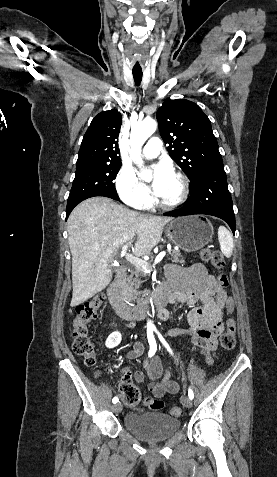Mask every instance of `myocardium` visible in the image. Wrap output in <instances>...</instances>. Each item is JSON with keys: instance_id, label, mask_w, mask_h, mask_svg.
Instances as JSON below:
<instances>
[{"instance_id": "obj_1", "label": "myocardium", "mask_w": 277, "mask_h": 477, "mask_svg": "<svg viewBox=\"0 0 277 477\" xmlns=\"http://www.w3.org/2000/svg\"><path fill=\"white\" fill-rule=\"evenodd\" d=\"M174 175L177 177V179L179 180L181 184V193L179 197L172 202H165L161 200L160 198L156 199L157 205L165 210H173L182 206L188 199V196L190 193V185H189L188 178L183 173H180V172H176Z\"/></svg>"}]
</instances>
